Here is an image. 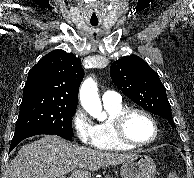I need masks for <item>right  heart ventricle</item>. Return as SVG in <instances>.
I'll use <instances>...</instances> for the list:
<instances>
[{"label":"right heart ventricle","instance_id":"obj_1","mask_svg":"<svg viewBox=\"0 0 194 178\" xmlns=\"http://www.w3.org/2000/svg\"><path fill=\"white\" fill-rule=\"evenodd\" d=\"M105 110L108 114L107 120L95 125L96 141L94 146L101 150H126L131 147L121 144L115 137L112 126L113 117L122 111L125 107L122 102L104 103Z\"/></svg>","mask_w":194,"mask_h":178}]
</instances>
